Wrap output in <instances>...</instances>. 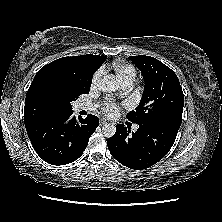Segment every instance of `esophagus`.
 Returning a JSON list of instances; mask_svg holds the SVG:
<instances>
[{"instance_id":"34e87169","label":"esophagus","mask_w":222,"mask_h":222,"mask_svg":"<svg viewBox=\"0 0 222 222\" xmlns=\"http://www.w3.org/2000/svg\"><path fill=\"white\" fill-rule=\"evenodd\" d=\"M106 123H107L106 120H101V121H100V125H104V124H106Z\"/></svg>"}]
</instances>
